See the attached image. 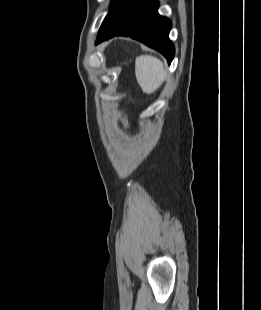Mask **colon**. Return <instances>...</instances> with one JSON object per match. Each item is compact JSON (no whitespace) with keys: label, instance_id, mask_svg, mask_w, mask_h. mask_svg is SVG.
<instances>
[{"label":"colon","instance_id":"1","mask_svg":"<svg viewBox=\"0 0 261 310\" xmlns=\"http://www.w3.org/2000/svg\"><path fill=\"white\" fill-rule=\"evenodd\" d=\"M123 123H124L125 125H127V121H126V119H123Z\"/></svg>","mask_w":261,"mask_h":310}]
</instances>
